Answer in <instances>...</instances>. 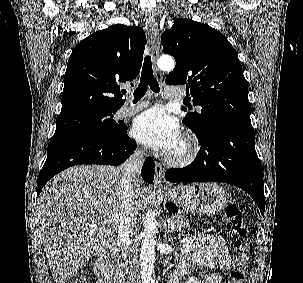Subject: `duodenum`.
Wrapping results in <instances>:
<instances>
[{
    "mask_svg": "<svg viewBox=\"0 0 303 283\" xmlns=\"http://www.w3.org/2000/svg\"><path fill=\"white\" fill-rule=\"evenodd\" d=\"M98 266L107 273L110 283H125L124 270L116 250H108Z\"/></svg>",
    "mask_w": 303,
    "mask_h": 283,
    "instance_id": "1",
    "label": "duodenum"
}]
</instances>
